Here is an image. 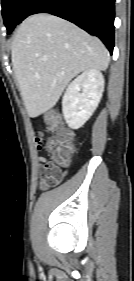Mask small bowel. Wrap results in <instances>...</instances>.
Returning a JSON list of instances; mask_svg holds the SVG:
<instances>
[{"label": "small bowel", "mask_w": 134, "mask_h": 281, "mask_svg": "<svg viewBox=\"0 0 134 281\" xmlns=\"http://www.w3.org/2000/svg\"><path fill=\"white\" fill-rule=\"evenodd\" d=\"M42 140L41 136L36 138L38 149H41ZM37 160L39 162L41 189H48L61 183L66 174L64 169H62L55 161L48 160L45 157L38 156Z\"/></svg>", "instance_id": "small-bowel-1"}]
</instances>
